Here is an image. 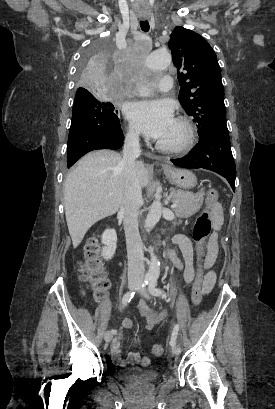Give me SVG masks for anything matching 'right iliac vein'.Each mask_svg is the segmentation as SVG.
Here are the masks:
<instances>
[{"mask_svg":"<svg viewBox=\"0 0 275 409\" xmlns=\"http://www.w3.org/2000/svg\"><path fill=\"white\" fill-rule=\"evenodd\" d=\"M139 286V283L136 281H131L128 283V287L130 290H134ZM113 338V335L110 331H106V333L104 334V340L106 343H109Z\"/></svg>","mask_w":275,"mask_h":409,"instance_id":"1","label":"right iliac vein"}]
</instances>
